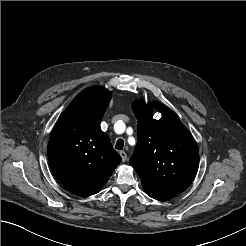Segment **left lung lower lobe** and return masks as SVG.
Here are the masks:
<instances>
[{
  "instance_id": "0a47b994",
  "label": "left lung lower lobe",
  "mask_w": 246,
  "mask_h": 246,
  "mask_svg": "<svg viewBox=\"0 0 246 246\" xmlns=\"http://www.w3.org/2000/svg\"><path fill=\"white\" fill-rule=\"evenodd\" d=\"M145 192L152 198L154 199H157V200H167V199H170L172 198V196H169V195H166V194H163V193H160V192H157V191H154V190H150V189H145Z\"/></svg>"
}]
</instances>
